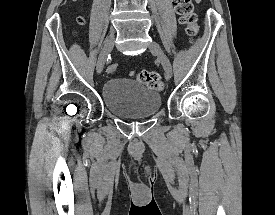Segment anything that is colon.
I'll use <instances>...</instances> for the list:
<instances>
[{"mask_svg":"<svg viewBox=\"0 0 275 215\" xmlns=\"http://www.w3.org/2000/svg\"><path fill=\"white\" fill-rule=\"evenodd\" d=\"M175 9L180 15V20L187 25V34L193 37L197 33V17L195 14L194 0H174ZM79 25L84 24V19L78 17ZM117 70L116 64H110L107 68L108 73H113ZM137 80L149 87L152 90L160 91L163 89L164 83L159 73L151 70H140L137 72Z\"/></svg>","mask_w":275,"mask_h":215,"instance_id":"5ec220e1","label":"colon"}]
</instances>
